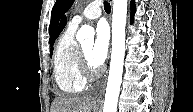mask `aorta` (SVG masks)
<instances>
[{
  "instance_id": "1",
  "label": "aorta",
  "mask_w": 193,
  "mask_h": 112,
  "mask_svg": "<svg viewBox=\"0 0 193 112\" xmlns=\"http://www.w3.org/2000/svg\"><path fill=\"white\" fill-rule=\"evenodd\" d=\"M127 7V0H113L112 51L103 112H116L117 110L125 57ZM76 38L80 42L85 39H93V28L82 25Z\"/></svg>"
}]
</instances>
